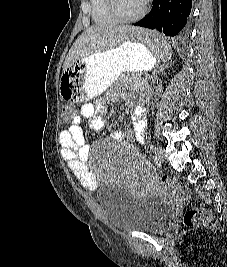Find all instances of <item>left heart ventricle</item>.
Instances as JSON below:
<instances>
[{"label":"left heart ventricle","instance_id":"1","mask_svg":"<svg viewBox=\"0 0 227 267\" xmlns=\"http://www.w3.org/2000/svg\"><path fill=\"white\" fill-rule=\"evenodd\" d=\"M144 4L143 0H119L118 6L124 15L132 16L140 11Z\"/></svg>","mask_w":227,"mask_h":267}]
</instances>
